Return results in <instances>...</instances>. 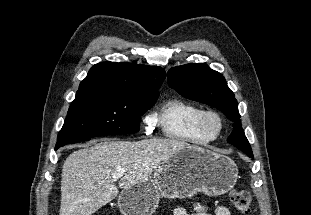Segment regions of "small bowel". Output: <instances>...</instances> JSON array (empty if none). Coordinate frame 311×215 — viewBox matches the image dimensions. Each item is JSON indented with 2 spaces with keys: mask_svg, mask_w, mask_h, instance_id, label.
<instances>
[{
  "mask_svg": "<svg viewBox=\"0 0 311 215\" xmlns=\"http://www.w3.org/2000/svg\"><path fill=\"white\" fill-rule=\"evenodd\" d=\"M173 215H232L230 210L225 206H218L214 209L213 212H210L207 207L202 204L197 203L194 206L192 213H188L186 209L182 207H177L174 210Z\"/></svg>",
  "mask_w": 311,
  "mask_h": 215,
  "instance_id": "small-bowel-1",
  "label": "small bowel"
}]
</instances>
